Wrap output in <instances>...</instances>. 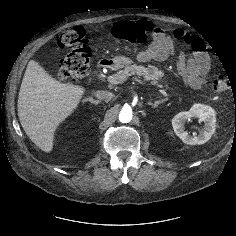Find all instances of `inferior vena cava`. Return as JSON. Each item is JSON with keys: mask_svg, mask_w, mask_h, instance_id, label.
I'll return each mask as SVG.
<instances>
[{"mask_svg": "<svg viewBox=\"0 0 236 236\" xmlns=\"http://www.w3.org/2000/svg\"><path fill=\"white\" fill-rule=\"evenodd\" d=\"M95 96L100 100L110 101L114 95L109 91L99 90L95 93Z\"/></svg>", "mask_w": 236, "mask_h": 236, "instance_id": "1", "label": "inferior vena cava"}]
</instances>
